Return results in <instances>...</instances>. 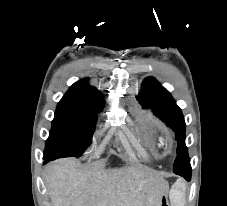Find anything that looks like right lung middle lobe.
Segmentation results:
<instances>
[{
    "mask_svg": "<svg viewBox=\"0 0 227 206\" xmlns=\"http://www.w3.org/2000/svg\"><path fill=\"white\" fill-rule=\"evenodd\" d=\"M102 98L75 99L63 97L58 103L52 130L46 141L44 156L52 159L82 155L91 143Z\"/></svg>",
    "mask_w": 227,
    "mask_h": 206,
    "instance_id": "dd1d6c3e",
    "label": "right lung middle lobe"
}]
</instances>
